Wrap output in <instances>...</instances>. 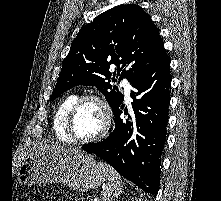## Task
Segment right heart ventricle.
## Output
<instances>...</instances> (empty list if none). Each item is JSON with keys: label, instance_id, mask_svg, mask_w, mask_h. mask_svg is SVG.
Wrapping results in <instances>:
<instances>
[{"label": "right heart ventricle", "instance_id": "obj_1", "mask_svg": "<svg viewBox=\"0 0 221 201\" xmlns=\"http://www.w3.org/2000/svg\"><path fill=\"white\" fill-rule=\"evenodd\" d=\"M79 96L75 93L67 95L58 105L53 117V130L56 137L63 142L72 143L66 132L67 115Z\"/></svg>", "mask_w": 221, "mask_h": 201}]
</instances>
